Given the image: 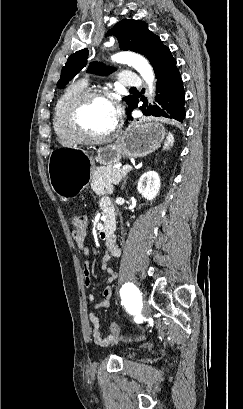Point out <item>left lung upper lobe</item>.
Listing matches in <instances>:
<instances>
[{
    "instance_id": "5c2ea615",
    "label": "left lung upper lobe",
    "mask_w": 243,
    "mask_h": 409,
    "mask_svg": "<svg viewBox=\"0 0 243 409\" xmlns=\"http://www.w3.org/2000/svg\"><path fill=\"white\" fill-rule=\"evenodd\" d=\"M107 35H114L123 50L138 52L150 61L155 73L174 60L169 48L163 44L159 36L148 29V24L134 19H124L117 23ZM88 50L82 49L73 53L67 60L61 71L57 86L62 87L79 73L87 65ZM112 67H106L98 62H91L87 72L99 75H107L114 71ZM134 96L124 97L129 108L132 106Z\"/></svg>"
}]
</instances>
